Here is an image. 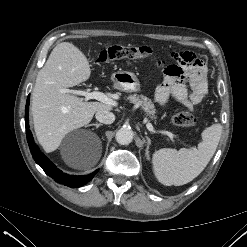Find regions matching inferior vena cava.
<instances>
[{"mask_svg":"<svg viewBox=\"0 0 247 247\" xmlns=\"http://www.w3.org/2000/svg\"><path fill=\"white\" fill-rule=\"evenodd\" d=\"M95 116L99 122L104 124H111L115 121V115L107 110H99Z\"/></svg>","mask_w":247,"mask_h":247,"instance_id":"inferior-vena-cava-1","label":"inferior vena cava"}]
</instances>
